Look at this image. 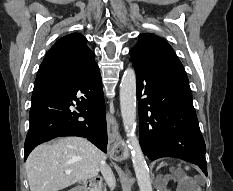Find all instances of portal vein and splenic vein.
I'll use <instances>...</instances> for the list:
<instances>
[{
    "instance_id": "1",
    "label": "portal vein and splenic vein",
    "mask_w": 233,
    "mask_h": 191,
    "mask_svg": "<svg viewBox=\"0 0 233 191\" xmlns=\"http://www.w3.org/2000/svg\"><path fill=\"white\" fill-rule=\"evenodd\" d=\"M65 173H66L67 175H69V174L71 173V171H66Z\"/></svg>"
}]
</instances>
